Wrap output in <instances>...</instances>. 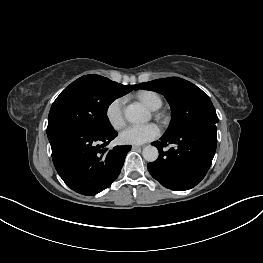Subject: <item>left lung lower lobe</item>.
Wrapping results in <instances>:
<instances>
[{
  "label": "left lung lower lobe",
  "mask_w": 263,
  "mask_h": 263,
  "mask_svg": "<svg viewBox=\"0 0 263 263\" xmlns=\"http://www.w3.org/2000/svg\"><path fill=\"white\" fill-rule=\"evenodd\" d=\"M216 132L215 127L191 128L154 142L159 158L147 164L152 177L175 191L196 186L211 166L217 145ZM167 144H175L176 147L163 151Z\"/></svg>",
  "instance_id": "0a47b994"
}]
</instances>
